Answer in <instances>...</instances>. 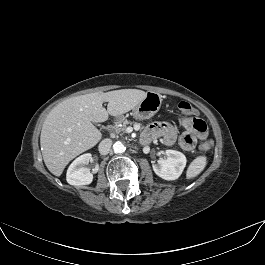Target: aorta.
Segmentation results:
<instances>
[{
  "instance_id": "1",
  "label": "aorta",
  "mask_w": 265,
  "mask_h": 265,
  "mask_svg": "<svg viewBox=\"0 0 265 265\" xmlns=\"http://www.w3.org/2000/svg\"><path fill=\"white\" fill-rule=\"evenodd\" d=\"M113 150L115 153L121 154L125 152L126 147L124 146L122 142L118 141V142H115V144L113 145Z\"/></svg>"
}]
</instances>
